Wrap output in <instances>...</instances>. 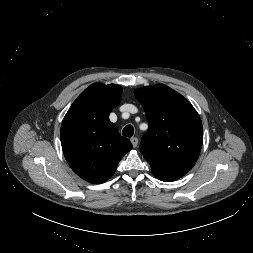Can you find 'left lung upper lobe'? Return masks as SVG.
Returning <instances> with one entry per match:
<instances>
[{
	"label": "left lung upper lobe",
	"mask_w": 253,
	"mask_h": 253,
	"mask_svg": "<svg viewBox=\"0 0 253 253\" xmlns=\"http://www.w3.org/2000/svg\"><path fill=\"white\" fill-rule=\"evenodd\" d=\"M148 120L140 151L156 176L179 179L195 165L203 143L199 114L182 95L158 84L135 90Z\"/></svg>",
	"instance_id": "5c2ea615"
}]
</instances>
